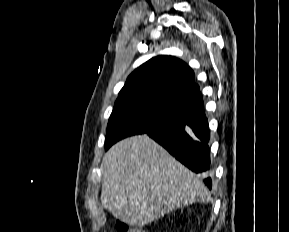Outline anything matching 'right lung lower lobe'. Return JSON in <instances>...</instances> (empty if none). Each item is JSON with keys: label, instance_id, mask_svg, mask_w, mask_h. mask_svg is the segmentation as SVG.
<instances>
[{"label": "right lung lower lobe", "instance_id": "obj_1", "mask_svg": "<svg viewBox=\"0 0 289 232\" xmlns=\"http://www.w3.org/2000/svg\"><path fill=\"white\" fill-rule=\"evenodd\" d=\"M146 133L195 173L209 174L210 132L204 107L185 111L177 119ZM204 182L211 188L210 177Z\"/></svg>", "mask_w": 289, "mask_h": 232}]
</instances>
